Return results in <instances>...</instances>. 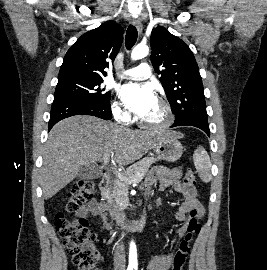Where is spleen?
Here are the masks:
<instances>
[{
	"mask_svg": "<svg viewBox=\"0 0 267 270\" xmlns=\"http://www.w3.org/2000/svg\"><path fill=\"white\" fill-rule=\"evenodd\" d=\"M193 161L200 179L205 183L210 182L212 180V164L208 153L203 147L199 146L194 151Z\"/></svg>",
	"mask_w": 267,
	"mask_h": 270,
	"instance_id": "3e777b00",
	"label": "spleen"
}]
</instances>
